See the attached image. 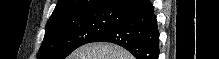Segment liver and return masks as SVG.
<instances>
[{"instance_id":"6515ba94","label":"liver","mask_w":219,"mask_h":59,"mask_svg":"<svg viewBox=\"0 0 219 59\" xmlns=\"http://www.w3.org/2000/svg\"><path fill=\"white\" fill-rule=\"evenodd\" d=\"M67 59H134V57L118 45L99 42L81 46Z\"/></svg>"}]
</instances>
